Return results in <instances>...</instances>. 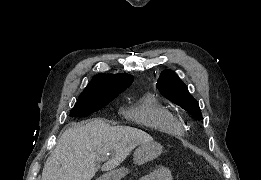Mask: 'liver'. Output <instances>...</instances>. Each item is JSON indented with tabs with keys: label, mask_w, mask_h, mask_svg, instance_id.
Returning <instances> with one entry per match:
<instances>
[{
	"label": "liver",
	"mask_w": 261,
	"mask_h": 180,
	"mask_svg": "<svg viewBox=\"0 0 261 180\" xmlns=\"http://www.w3.org/2000/svg\"><path fill=\"white\" fill-rule=\"evenodd\" d=\"M148 142H152L149 134L130 126H110L98 118L82 124L74 122L59 136L45 162L42 180H92L104 158H111L102 166L103 172H109L136 146Z\"/></svg>",
	"instance_id": "1"
}]
</instances>
